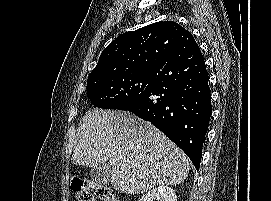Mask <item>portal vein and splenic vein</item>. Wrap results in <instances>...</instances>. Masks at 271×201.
I'll use <instances>...</instances> for the list:
<instances>
[{
  "label": "portal vein and splenic vein",
  "instance_id": "obj_1",
  "mask_svg": "<svg viewBox=\"0 0 271 201\" xmlns=\"http://www.w3.org/2000/svg\"><path fill=\"white\" fill-rule=\"evenodd\" d=\"M126 161H127V162H132V161H130L129 159H127Z\"/></svg>",
  "mask_w": 271,
  "mask_h": 201
}]
</instances>
